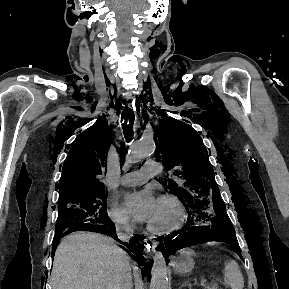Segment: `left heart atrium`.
Instances as JSON below:
<instances>
[{
	"label": "left heart atrium",
	"instance_id": "left-heart-atrium-1",
	"mask_svg": "<svg viewBox=\"0 0 289 289\" xmlns=\"http://www.w3.org/2000/svg\"><path fill=\"white\" fill-rule=\"evenodd\" d=\"M158 200L150 190L132 192L124 197L129 213L138 221L149 222L154 216Z\"/></svg>",
	"mask_w": 289,
	"mask_h": 289
}]
</instances>
